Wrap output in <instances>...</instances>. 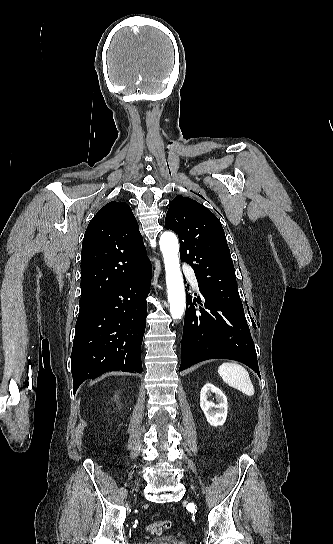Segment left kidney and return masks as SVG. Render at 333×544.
Here are the masks:
<instances>
[{"mask_svg":"<svg viewBox=\"0 0 333 544\" xmlns=\"http://www.w3.org/2000/svg\"><path fill=\"white\" fill-rule=\"evenodd\" d=\"M212 393L215 394L217 404L209 401ZM200 407L207 422L214 427L222 426L227 418V399L223 392L211 383H206L200 392Z\"/></svg>","mask_w":333,"mask_h":544,"instance_id":"1","label":"left kidney"}]
</instances>
